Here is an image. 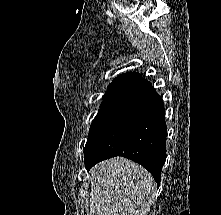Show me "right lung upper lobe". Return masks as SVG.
I'll list each match as a JSON object with an SVG mask.
<instances>
[{"instance_id": "right-lung-upper-lobe-1", "label": "right lung upper lobe", "mask_w": 221, "mask_h": 215, "mask_svg": "<svg viewBox=\"0 0 221 215\" xmlns=\"http://www.w3.org/2000/svg\"><path fill=\"white\" fill-rule=\"evenodd\" d=\"M153 88L139 73L127 72L115 78L103 96L104 101L128 100L142 96Z\"/></svg>"}]
</instances>
